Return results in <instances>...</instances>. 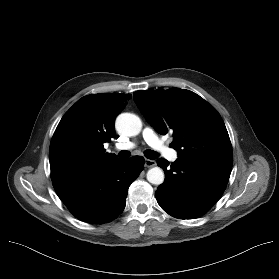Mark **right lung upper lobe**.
<instances>
[{
    "label": "right lung upper lobe",
    "mask_w": 279,
    "mask_h": 279,
    "mask_svg": "<svg viewBox=\"0 0 279 279\" xmlns=\"http://www.w3.org/2000/svg\"><path fill=\"white\" fill-rule=\"evenodd\" d=\"M129 94H91L78 100L62 117L51 140L52 182L71 179L119 159L106 153L105 142L114 138V119Z\"/></svg>",
    "instance_id": "obj_1"
}]
</instances>
